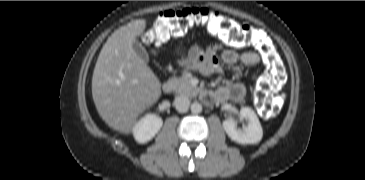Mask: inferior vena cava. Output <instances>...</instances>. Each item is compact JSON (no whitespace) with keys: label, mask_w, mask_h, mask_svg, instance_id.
I'll use <instances>...</instances> for the list:
<instances>
[{"label":"inferior vena cava","mask_w":365,"mask_h":180,"mask_svg":"<svg viewBox=\"0 0 365 180\" xmlns=\"http://www.w3.org/2000/svg\"><path fill=\"white\" fill-rule=\"evenodd\" d=\"M174 105L178 112H187L190 106V100L186 95H179L175 98Z\"/></svg>","instance_id":"obj_1"}]
</instances>
